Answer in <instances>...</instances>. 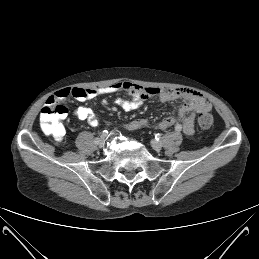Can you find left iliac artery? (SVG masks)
<instances>
[{
  "instance_id": "left-iliac-artery-1",
  "label": "left iliac artery",
  "mask_w": 259,
  "mask_h": 259,
  "mask_svg": "<svg viewBox=\"0 0 259 259\" xmlns=\"http://www.w3.org/2000/svg\"><path fill=\"white\" fill-rule=\"evenodd\" d=\"M175 130L180 131L181 130V125L177 124L176 127H175Z\"/></svg>"
}]
</instances>
